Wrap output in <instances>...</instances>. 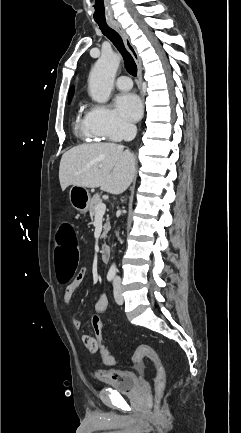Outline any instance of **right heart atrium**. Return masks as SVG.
Returning <instances> with one entry per match:
<instances>
[{
  "mask_svg": "<svg viewBox=\"0 0 241 433\" xmlns=\"http://www.w3.org/2000/svg\"><path fill=\"white\" fill-rule=\"evenodd\" d=\"M87 117L92 130L105 139L116 140L132 131V126L106 105H93Z\"/></svg>",
  "mask_w": 241,
  "mask_h": 433,
  "instance_id": "right-heart-atrium-1",
  "label": "right heart atrium"
}]
</instances>
